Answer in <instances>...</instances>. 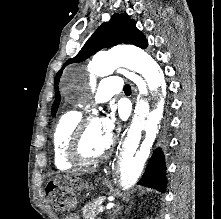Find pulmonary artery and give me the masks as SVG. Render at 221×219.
<instances>
[{"label": "pulmonary artery", "instance_id": "e3ab8cb5", "mask_svg": "<svg viewBox=\"0 0 221 219\" xmlns=\"http://www.w3.org/2000/svg\"><path fill=\"white\" fill-rule=\"evenodd\" d=\"M122 89L121 78L117 75L104 78L94 95L97 103L108 101L113 95L118 94Z\"/></svg>", "mask_w": 221, "mask_h": 219}]
</instances>
